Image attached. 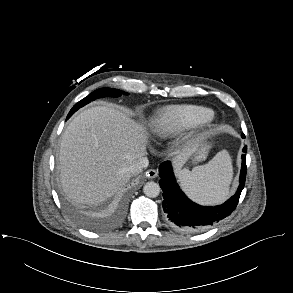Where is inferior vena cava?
<instances>
[{"instance_id":"obj_1","label":"inferior vena cava","mask_w":293,"mask_h":293,"mask_svg":"<svg viewBox=\"0 0 293 293\" xmlns=\"http://www.w3.org/2000/svg\"><path fill=\"white\" fill-rule=\"evenodd\" d=\"M149 164L147 157H141L137 161H135L129 168L132 174H138L142 172L144 168H146Z\"/></svg>"}]
</instances>
